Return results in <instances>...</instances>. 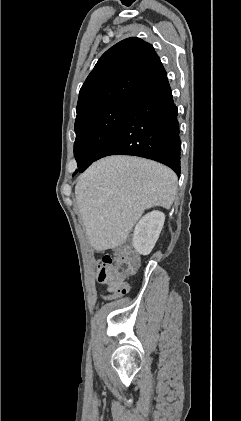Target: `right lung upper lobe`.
<instances>
[{
  "mask_svg": "<svg viewBox=\"0 0 241 421\" xmlns=\"http://www.w3.org/2000/svg\"><path fill=\"white\" fill-rule=\"evenodd\" d=\"M165 71L153 46L140 38H127L98 60L80 89L77 118L119 101H130Z\"/></svg>",
  "mask_w": 241,
  "mask_h": 421,
  "instance_id": "right-lung-upper-lobe-1",
  "label": "right lung upper lobe"
}]
</instances>
